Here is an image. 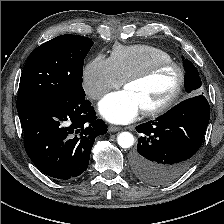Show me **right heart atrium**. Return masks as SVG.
Here are the masks:
<instances>
[{
  "instance_id": "obj_1",
  "label": "right heart atrium",
  "mask_w": 224,
  "mask_h": 224,
  "mask_svg": "<svg viewBox=\"0 0 224 224\" xmlns=\"http://www.w3.org/2000/svg\"><path fill=\"white\" fill-rule=\"evenodd\" d=\"M123 81L115 71L110 58L97 55L83 70L82 84L87 96L100 99L108 91L119 88Z\"/></svg>"
}]
</instances>
